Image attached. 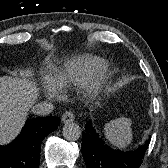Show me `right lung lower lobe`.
Segmentation results:
<instances>
[{
	"label": "right lung lower lobe",
	"instance_id": "1",
	"mask_svg": "<svg viewBox=\"0 0 168 168\" xmlns=\"http://www.w3.org/2000/svg\"><path fill=\"white\" fill-rule=\"evenodd\" d=\"M59 122L52 116L28 120L12 143L0 146V168H38L41 142Z\"/></svg>",
	"mask_w": 168,
	"mask_h": 168
}]
</instances>
